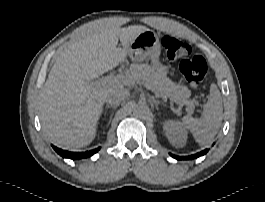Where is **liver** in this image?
I'll use <instances>...</instances> for the list:
<instances>
[{"label": "liver", "instance_id": "6515ba94", "mask_svg": "<svg viewBox=\"0 0 265 202\" xmlns=\"http://www.w3.org/2000/svg\"><path fill=\"white\" fill-rule=\"evenodd\" d=\"M146 30L142 25L120 28L96 20L59 52L39 95L42 129L52 143L75 150L94 140L108 91L123 85L92 82L125 62L130 44ZM119 40L122 47H117Z\"/></svg>", "mask_w": 265, "mask_h": 202}]
</instances>
